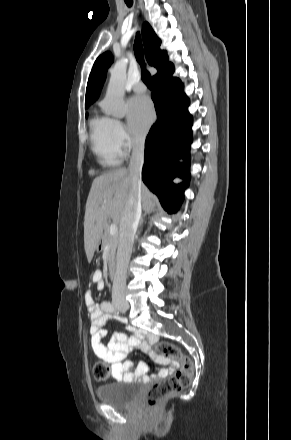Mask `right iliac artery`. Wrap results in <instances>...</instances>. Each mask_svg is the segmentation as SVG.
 Listing matches in <instances>:
<instances>
[{
	"label": "right iliac artery",
	"instance_id": "right-iliac-artery-1",
	"mask_svg": "<svg viewBox=\"0 0 291 440\" xmlns=\"http://www.w3.org/2000/svg\"><path fill=\"white\" fill-rule=\"evenodd\" d=\"M108 309H109L110 312L117 313L116 309H115V308L113 307V305H111V304L109 305V308H108Z\"/></svg>",
	"mask_w": 291,
	"mask_h": 440
}]
</instances>
